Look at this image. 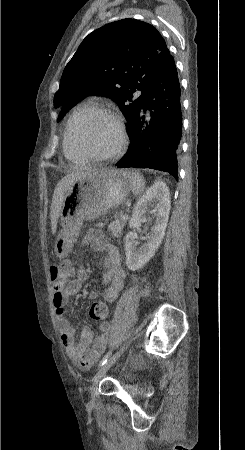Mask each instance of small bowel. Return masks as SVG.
<instances>
[{"label": "small bowel", "mask_w": 245, "mask_h": 450, "mask_svg": "<svg viewBox=\"0 0 245 450\" xmlns=\"http://www.w3.org/2000/svg\"><path fill=\"white\" fill-rule=\"evenodd\" d=\"M82 244L103 255L102 282L107 287L102 297L105 303H113L125 283V273L120 266V254L116 246L99 229L88 230L82 239ZM73 276H75L74 279H71ZM50 277L53 280L54 317L58 323L65 352L81 370H87L103 354L109 340L111 325L106 320L100 322L98 325L100 336L97 338L94 337L91 328L84 327L80 341L76 343L75 329L66 315V306L69 298L76 296L88 280V271L82 266L76 269L70 265L64 268L52 267ZM90 297L96 299L98 294L91 292Z\"/></svg>", "instance_id": "small-bowel-1"}]
</instances>
